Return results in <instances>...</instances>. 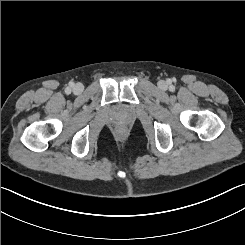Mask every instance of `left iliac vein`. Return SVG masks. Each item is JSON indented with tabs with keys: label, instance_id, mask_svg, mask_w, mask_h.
<instances>
[{
	"label": "left iliac vein",
	"instance_id": "left-iliac-vein-1",
	"mask_svg": "<svg viewBox=\"0 0 245 245\" xmlns=\"http://www.w3.org/2000/svg\"><path fill=\"white\" fill-rule=\"evenodd\" d=\"M158 86H159L160 89H165L166 88V84H165L164 81H160Z\"/></svg>",
	"mask_w": 245,
	"mask_h": 245
}]
</instances>
